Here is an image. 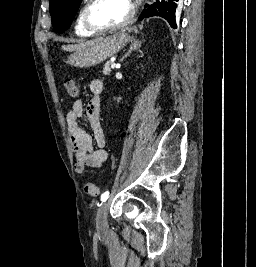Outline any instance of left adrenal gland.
<instances>
[{
	"label": "left adrenal gland",
	"instance_id": "left-adrenal-gland-1",
	"mask_svg": "<svg viewBox=\"0 0 256 267\" xmlns=\"http://www.w3.org/2000/svg\"><path fill=\"white\" fill-rule=\"evenodd\" d=\"M140 46H141V42H139V40H136V38H133V40H131V44L129 46L128 52H126L125 56L121 58L120 62H123L124 58H127V56H130V54H132V52H135V50H139Z\"/></svg>",
	"mask_w": 256,
	"mask_h": 267
}]
</instances>
